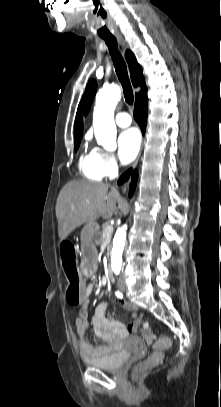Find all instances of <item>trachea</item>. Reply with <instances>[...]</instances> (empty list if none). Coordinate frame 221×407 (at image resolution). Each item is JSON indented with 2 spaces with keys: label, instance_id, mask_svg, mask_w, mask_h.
Wrapping results in <instances>:
<instances>
[{
  "label": "trachea",
  "instance_id": "1",
  "mask_svg": "<svg viewBox=\"0 0 221 407\" xmlns=\"http://www.w3.org/2000/svg\"><path fill=\"white\" fill-rule=\"evenodd\" d=\"M102 39L108 46L116 74L123 88L124 98L129 105H132L134 102L133 90L125 61L118 50L117 40L114 36L102 37Z\"/></svg>",
  "mask_w": 221,
  "mask_h": 407
}]
</instances>
